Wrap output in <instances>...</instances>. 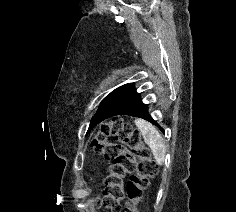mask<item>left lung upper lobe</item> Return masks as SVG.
<instances>
[{"label": "left lung upper lobe", "instance_id": "5c2ea615", "mask_svg": "<svg viewBox=\"0 0 236 212\" xmlns=\"http://www.w3.org/2000/svg\"><path fill=\"white\" fill-rule=\"evenodd\" d=\"M122 86L116 88L115 90H113L111 93H109L101 102L100 107L98 109V111L96 112V114L94 115V117L92 118L88 131L87 133L98 123H100L99 118L101 113L106 109V107L111 103V101L115 98V96L119 93V91L121 90Z\"/></svg>", "mask_w": 236, "mask_h": 212}]
</instances>
